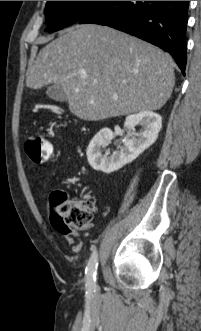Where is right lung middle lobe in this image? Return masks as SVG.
<instances>
[{"label": "right lung middle lobe", "instance_id": "right-lung-middle-lobe-1", "mask_svg": "<svg viewBox=\"0 0 201 331\" xmlns=\"http://www.w3.org/2000/svg\"><path fill=\"white\" fill-rule=\"evenodd\" d=\"M105 1H48L45 7L47 31H57L78 22Z\"/></svg>", "mask_w": 201, "mask_h": 331}]
</instances>
